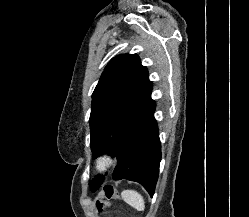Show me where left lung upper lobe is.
Listing matches in <instances>:
<instances>
[{"label": "left lung upper lobe", "mask_w": 249, "mask_h": 217, "mask_svg": "<svg viewBox=\"0 0 249 217\" xmlns=\"http://www.w3.org/2000/svg\"><path fill=\"white\" fill-rule=\"evenodd\" d=\"M146 67L136 54L113 58L104 69L92 95L89 119L93 158L116 155L119 129L129 113L152 91ZM91 189L99 186L91 182Z\"/></svg>", "instance_id": "1"}]
</instances>
